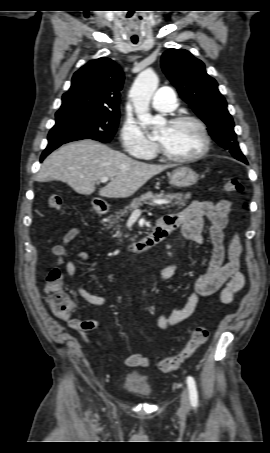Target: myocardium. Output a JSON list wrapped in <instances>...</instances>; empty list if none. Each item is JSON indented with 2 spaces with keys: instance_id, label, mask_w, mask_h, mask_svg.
<instances>
[{
  "instance_id": "1",
  "label": "myocardium",
  "mask_w": 270,
  "mask_h": 453,
  "mask_svg": "<svg viewBox=\"0 0 270 453\" xmlns=\"http://www.w3.org/2000/svg\"><path fill=\"white\" fill-rule=\"evenodd\" d=\"M185 122L193 123L199 129L201 137H202V141H203L202 148L193 155L178 157V156H174V155H171L168 152H166V150L163 148L162 144L160 142H158L157 146H158V152H159L160 156L169 162H173V163L194 162V161H197V160L201 159L202 157H204L210 150L211 139H210L207 127H206L205 123L198 117H195L192 115H179V116H175V117L169 119L168 124L176 125V124H181V123H185Z\"/></svg>"
}]
</instances>
